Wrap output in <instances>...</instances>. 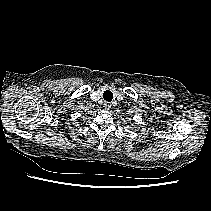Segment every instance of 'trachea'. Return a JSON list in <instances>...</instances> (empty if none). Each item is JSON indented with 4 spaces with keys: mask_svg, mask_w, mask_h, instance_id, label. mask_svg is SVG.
Masks as SVG:
<instances>
[{
    "mask_svg": "<svg viewBox=\"0 0 211 211\" xmlns=\"http://www.w3.org/2000/svg\"><path fill=\"white\" fill-rule=\"evenodd\" d=\"M103 98L107 102H111L113 99V93L110 90H106L103 93Z\"/></svg>",
    "mask_w": 211,
    "mask_h": 211,
    "instance_id": "obj_1",
    "label": "trachea"
}]
</instances>
